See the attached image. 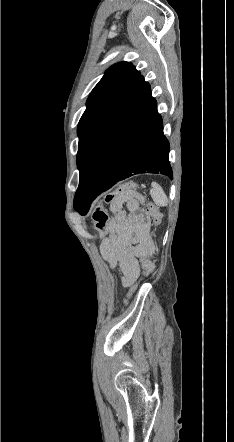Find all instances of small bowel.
Wrapping results in <instances>:
<instances>
[{
  "instance_id": "obj_1",
  "label": "small bowel",
  "mask_w": 234,
  "mask_h": 442,
  "mask_svg": "<svg viewBox=\"0 0 234 442\" xmlns=\"http://www.w3.org/2000/svg\"><path fill=\"white\" fill-rule=\"evenodd\" d=\"M111 212L108 234L100 251L110 268L119 267L123 285L130 286L144 268L147 251L140 243L148 230V217L134 192L113 203Z\"/></svg>"
}]
</instances>
